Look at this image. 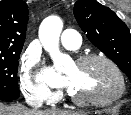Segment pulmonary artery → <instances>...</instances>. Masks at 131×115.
I'll return each mask as SVG.
<instances>
[{
  "instance_id": "1",
  "label": "pulmonary artery",
  "mask_w": 131,
  "mask_h": 115,
  "mask_svg": "<svg viewBox=\"0 0 131 115\" xmlns=\"http://www.w3.org/2000/svg\"><path fill=\"white\" fill-rule=\"evenodd\" d=\"M61 44L70 50H77L81 45V37L75 30H64L61 35Z\"/></svg>"
}]
</instances>
